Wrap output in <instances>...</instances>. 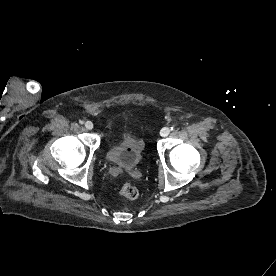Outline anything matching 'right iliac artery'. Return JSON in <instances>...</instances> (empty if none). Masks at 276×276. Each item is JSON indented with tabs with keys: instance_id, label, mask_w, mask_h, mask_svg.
I'll list each match as a JSON object with an SVG mask.
<instances>
[{
	"instance_id": "82829eb1",
	"label": "right iliac artery",
	"mask_w": 276,
	"mask_h": 276,
	"mask_svg": "<svg viewBox=\"0 0 276 276\" xmlns=\"http://www.w3.org/2000/svg\"><path fill=\"white\" fill-rule=\"evenodd\" d=\"M79 123L82 125L84 123V121L83 120H79Z\"/></svg>"
}]
</instances>
